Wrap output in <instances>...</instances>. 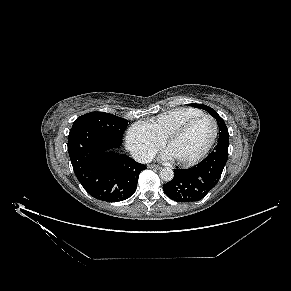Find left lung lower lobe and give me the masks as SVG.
<instances>
[{"instance_id": "obj_1", "label": "left lung lower lobe", "mask_w": 291, "mask_h": 291, "mask_svg": "<svg viewBox=\"0 0 291 291\" xmlns=\"http://www.w3.org/2000/svg\"><path fill=\"white\" fill-rule=\"evenodd\" d=\"M228 156V140L218 144L201 163L189 169H176L174 178L163 186L165 194L177 202H194L204 198L219 181Z\"/></svg>"}]
</instances>
